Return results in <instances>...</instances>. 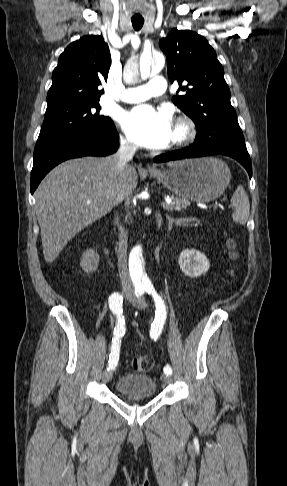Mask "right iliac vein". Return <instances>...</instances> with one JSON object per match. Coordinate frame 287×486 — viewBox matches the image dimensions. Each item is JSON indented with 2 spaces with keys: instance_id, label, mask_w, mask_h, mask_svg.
Instances as JSON below:
<instances>
[{
  "instance_id": "right-iliac-vein-1",
  "label": "right iliac vein",
  "mask_w": 287,
  "mask_h": 486,
  "mask_svg": "<svg viewBox=\"0 0 287 486\" xmlns=\"http://www.w3.org/2000/svg\"><path fill=\"white\" fill-rule=\"evenodd\" d=\"M124 295L129 298L131 297V292L125 291ZM102 379L104 382H109L112 379V372L105 370L102 374Z\"/></svg>"
}]
</instances>
